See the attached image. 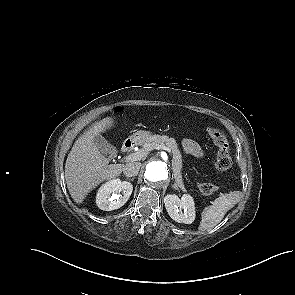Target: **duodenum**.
Returning a JSON list of instances; mask_svg holds the SVG:
<instances>
[{
	"label": "duodenum",
	"mask_w": 295,
	"mask_h": 295,
	"mask_svg": "<svg viewBox=\"0 0 295 295\" xmlns=\"http://www.w3.org/2000/svg\"><path fill=\"white\" fill-rule=\"evenodd\" d=\"M135 146V140L134 139H128L124 142L123 146H122V152L123 153H129L130 151H132V149Z\"/></svg>",
	"instance_id": "duodenum-1"
}]
</instances>
